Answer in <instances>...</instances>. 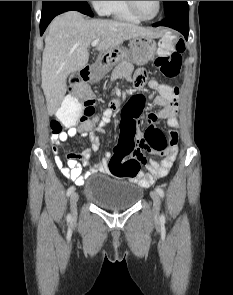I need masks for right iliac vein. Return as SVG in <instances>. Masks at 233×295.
Instances as JSON below:
<instances>
[{
	"label": "right iliac vein",
	"instance_id": "1",
	"mask_svg": "<svg viewBox=\"0 0 233 295\" xmlns=\"http://www.w3.org/2000/svg\"><path fill=\"white\" fill-rule=\"evenodd\" d=\"M79 199V195L77 192H73L70 198V208L73 215L77 212V202Z\"/></svg>",
	"mask_w": 233,
	"mask_h": 295
}]
</instances>
